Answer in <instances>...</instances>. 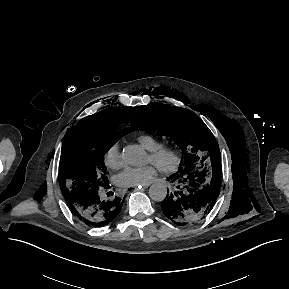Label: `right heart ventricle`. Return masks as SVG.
Listing matches in <instances>:
<instances>
[{
  "label": "right heart ventricle",
  "instance_id": "1",
  "mask_svg": "<svg viewBox=\"0 0 289 289\" xmlns=\"http://www.w3.org/2000/svg\"><path fill=\"white\" fill-rule=\"evenodd\" d=\"M137 139L148 151L163 146L159 139L148 133L140 134Z\"/></svg>",
  "mask_w": 289,
  "mask_h": 289
}]
</instances>
